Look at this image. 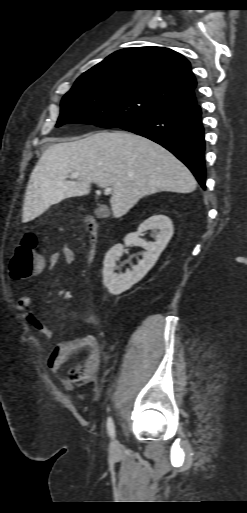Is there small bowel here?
<instances>
[{"instance_id":"1","label":"small bowel","mask_w":247,"mask_h":513,"mask_svg":"<svg viewBox=\"0 0 247 513\" xmlns=\"http://www.w3.org/2000/svg\"><path fill=\"white\" fill-rule=\"evenodd\" d=\"M61 259L66 265H72L76 262V254L72 249L62 247L50 255L47 263L48 269H55ZM45 268L46 263L43 262L40 272ZM30 303V295L23 293L18 300L19 312L45 341H51L54 337L53 330L31 310ZM85 320L90 323L92 321V317H87ZM84 352L87 354L86 358L72 366L67 371L65 378L67 385L88 383L94 379L99 370L102 354V346L100 342L92 335L55 343L52 345L46 357L45 364L50 370L58 371L71 358L77 357Z\"/></svg>"}]
</instances>
